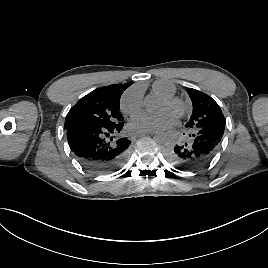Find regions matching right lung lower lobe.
I'll return each instance as SVG.
<instances>
[{"instance_id": "98d812e1", "label": "right lung lower lobe", "mask_w": 268, "mask_h": 268, "mask_svg": "<svg viewBox=\"0 0 268 268\" xmlns=\"http://www.w3.org/2000/svg\"><path fill=\"white\" fill-rule=\"evenodd\" d=\"M124 122L111 127L72 125L66 128L71 151L95 173L117 171L124 163L131 141L122 137Z\"/></svg>"}]
</instances>
